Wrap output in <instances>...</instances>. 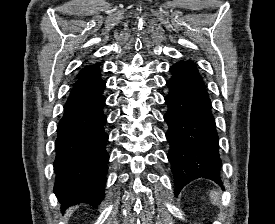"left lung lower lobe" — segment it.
I'll use <instances>...</instances> for the list:
<instances>
[{"instance_id":"obj_1","label":"left lung lower lobe","mask_w":275,"mask_h":224,"mask_svg":"<svg viewBox=\"0 0 275 224\" xmlns=\"http://www.w3.org/2000/svg\"><path fill=\"white\" fill-rule=\"evenodd\" d=\"M165 97L168 111V160L174 174L175 194L192 180L207 178L222 186L218 134L209 95L196 67L170 68Z\"/></svg>"}]
</instances>
